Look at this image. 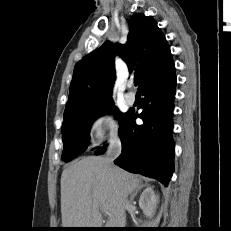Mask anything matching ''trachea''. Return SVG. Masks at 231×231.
<instances>
[{
	"mask_svg": "<svg viewBox=\"0 0 231 231\" xmlns=\"http://www.w3.org/2000/svg\"><path fill=\"white\" fill-rule=\"evenodd\" d=\"M134 85H135V86L138 85V80H134Z\"/></svg>",
	"mask_w": 231,
	"mask_h": 231,
	"instance_id": "3493384b",
	"label": "trachea"
}]
</instances>
